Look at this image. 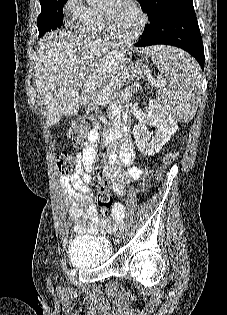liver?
Returning a JSON list of instances; mask_svg holds the SVG:
<instances>
[{"label":"liver","instance_id":"6515ba94","mask_svg":"<svg viewBox=\"0 0 227 315\" xmlns=\"http://www.w3.org/2000/svg\"><path fill=\"white\" fill-rule=\"evenodd\" d=\"M116 49L110 42L61 30L49 32L40 39L35 86L45 105L48 126L58 123L62 115H77L80 91L88 84L90 73L100 76L111 71L116 54L122 61L123 55Z\"/></svg>","mask_w":227,"mask_h":315}]
</instances>
